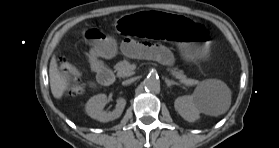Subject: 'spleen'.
Returning a JSON list of instances; mask_svg holds the SVG:
<instances>
[{
  "label": "spleen",
  "mask_w": 279,
  "mask_h": 148,
  "mask_svg": "<svg viewBox=\"0 0 279 148\" xmlns=\"http://www.w3.org/2000/svg\"><path fill=\"white\" fill-rule=\"evenodd\" d=\"M221 87L223 89H225L226 91V101L224 102V104L220 107L218 114H222L224 113L230 106L231 103V97H230V93L229 90L227 89V87L219 80H215V79H210V80H206L204 82H202L201 86H199L196 91H195V95L204 100L203 98L209 97L212 94L213 91V87Z\"/></svg>",
  "instance_id": "1"
}]
</instances>
